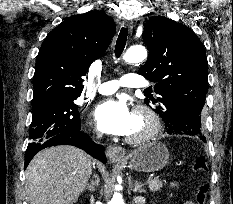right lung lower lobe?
<instances>
[{"mask_svg": "<svg viewBox=\"0 0 233 204\" xmlns=\"http://www.w3.org/2000/svg\"><path fill=\"white\" fill-rule=\"evenodd\" d=\"M64 144L79 147L85 150L88 154H90L94 158L100 160L103 163H106V157L104 155L103 146L95 144L87 134L78 131V132L57 134L52 138L48 139L47 141H45L38 149L26 150L24 168L28 166L29 162L38 151L46 147L64 145Z\"/></svg>", "mask_w": 233, "mask_h": 204, "instance_id": "1", "label": "right lung lower lobe"}]
</instances>
